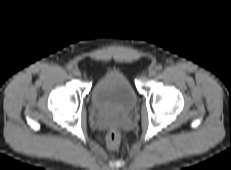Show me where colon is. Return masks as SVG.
<instances>
[{
    "label": "colon",
    "mask_w": 231,
    "mask_h": 170,
    "mask_svg": "<svg viewBox=\"0 0 231 170\" xmlns=\"http://www.w3.org/2000/svg\"><path fill=\"white\" fill-rule=\"evenodd\" d=\"M121 138V133L118 130H111L106 138L107 147L111 150L117 149L121 143Z\"/></svg>",
    "instance_id": "1"
}]
</instances>
